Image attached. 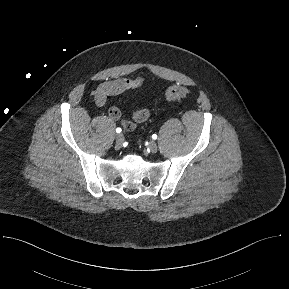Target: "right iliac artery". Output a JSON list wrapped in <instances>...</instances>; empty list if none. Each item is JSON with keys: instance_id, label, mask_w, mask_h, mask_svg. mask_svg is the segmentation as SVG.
I'll return each instance as SVG.
<instances>
[{"instance_id": "82829eb1", "label": "right iliac artery", "mask_w": 289, "mask_h": 289, "mask_svg": "<svg viewBox=\"0 0 289 289\" xmlns=\"http://www.w3.org/2000/svg\"><path fill=\"white\" fill-rule=\"evenodd\" d=\"M121 131H122L121 128H117V129H116V132H117V133H121Z\"/></svg>"}]
</instances>
